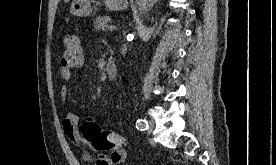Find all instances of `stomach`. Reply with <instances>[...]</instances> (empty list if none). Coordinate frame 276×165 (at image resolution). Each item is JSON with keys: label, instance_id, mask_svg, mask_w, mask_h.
Segmentation results:
<instances>
[{"label": "stomach", "instance_id": "obj_1", "mask_svg": "<svg viewBox=\"0 0 276 165\" xmlns=\"http://www.w3.org/2000/svg\"><path fill=\"white\" fill-rule=\"evenodd\" d=\"M109 10H124L128 7V0H104ZM92 12L90 0H73L70 13L78 17H86Z\"/></svg>", "mask_w": 276, "mask_h": 165}]
</instances>
